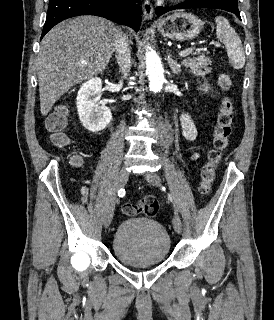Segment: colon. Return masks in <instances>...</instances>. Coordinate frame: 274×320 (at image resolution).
I'll return each mask as SVG.
<instances>
[{
    "mask_svg": "<svg viewBox=\"0 0 274 320\" xmlns=\"http://www.w3.org/2000/svg\"><path fill=\"white\" fill-rule=\"evenodd\" d=\"M220 82L224 87L229 86V79L225 75L221 77ZM67 116L66 108L58 107L47 117L46 129L51 133V141L56 146L64 147L69 144V139L63 132L67 126ZM232 130L233 107L231 101L225 99L221 103L216 119L213 147L210 150L208 162L202 170L200 193L203 196L208 195L211 190L217 167L228 149ZM73 160L76 165H81L79 156H74ZM122 212L126 216L145 214L152 218L158 212V202L154 198H146L137 204L126 203L122 207Z\"/></svg>",
    "mask_w": 274,
    "mask_h": 320,
    "instance_id": "5ec220e1",
    "label": "colon"
}]
</instances>
